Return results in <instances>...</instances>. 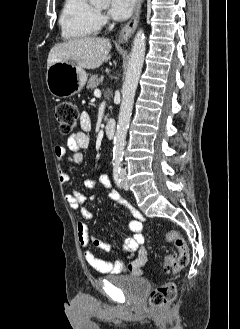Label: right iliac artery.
Wrapping results in <instances>:
<instances>
[{
  "label": "right iliac artery",
  "mask_w": 240,
  "mask_h": 329,
  "mask_svg": "<svg viewBox=\"0 0 240 329\" xmlns=\"http://www.w3.org/2000/svg\"><path fill=\"white\" fill-rule=\"evenodd\" d=\"M113 178L115 183L117 184L118 187L121 188V176H120V167L119 166H114L113 168Z\"/></svg>",
  "instance_id": "82829eb1"
}]
</instances>
